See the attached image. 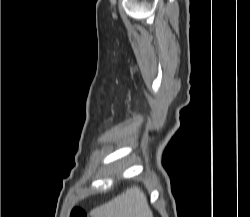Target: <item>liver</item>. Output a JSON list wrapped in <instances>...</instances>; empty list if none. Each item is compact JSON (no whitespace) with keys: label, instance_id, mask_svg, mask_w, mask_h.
Instances as JSON below:
<instances>
[{"label":"liver","instance_id":"liver-1","mask_svg":"<svg viewBox=\"0 0 250 217\" xmlns=\"http://www.w3.org/2000/svg\"><path fill=\"white\" fill-rule=\"evenodd\" d=\"M91 217H153L146 195L138 187L127 188L109 202L91 210Z\"/></svg>","mask_w":250,"mask_h":217}]
</instances>
